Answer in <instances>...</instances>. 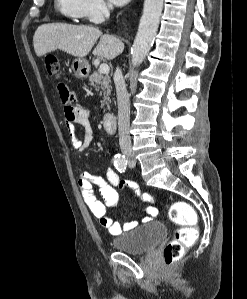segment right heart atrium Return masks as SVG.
Instances as JSON below:
<instances>
[{
	"instance_id": "obj_1",
	"label": "right heart atrium",
	"mask_w": 247,
	"mask_h": 299,
	"mask_svg": "<svg viewBox=\"0 0 247 299\" xmlns=\"http://www.w3.org/2000/svg\"><path fill=\"white\" fill-rule=\"evenodd\" d=\"M81 1V17L97 23L103 19L110 10V5L106 0H80Z\"/></svg>"
}]
</instances>
